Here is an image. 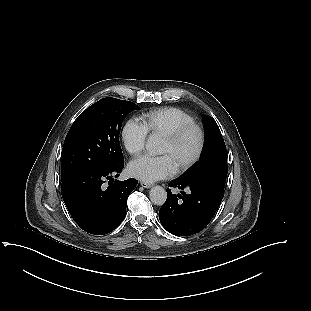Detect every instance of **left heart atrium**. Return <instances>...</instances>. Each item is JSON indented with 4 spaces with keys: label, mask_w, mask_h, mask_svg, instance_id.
<instances>
[{
    "label": "left heart atrium",
    "mask_w": 311,
    "mask_h": 311,
    "mask_svg": "<svg viewBox=\"0 0 311 311\" xmlns=\"http://www.w3.org/2000/svg\"><path fill=\"white\" fill-rule=\"evenodd\" d=\"M173 171L174 166L167 155H144L132 161L129 165L130 174L145 182H154L167 178Z\"/></svg>",
    "instance_id": "39dd6f15"
}]
</instances>
